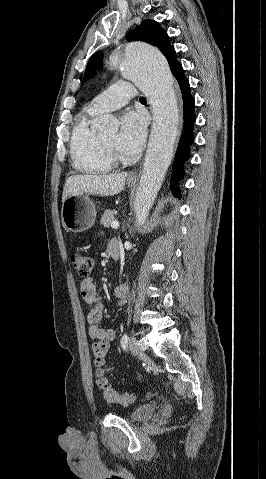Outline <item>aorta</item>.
Returning a JSON list of instances; mask_svg holds the SVG:
<instances>
[{"label":"aorta","mask_w":266,"mask_h":479,"mask_svg":"<svg viewBox=\"0 0 266 479\" xmlns=\"http://www.w3.org/2000/svg\"><path fill=\"white\" fill-rule=\"evenodd\" d=\"M112 66H120L123 75L133 81L153 107V124L143 163L139 187L133 202L137 226H142L154 204L164 176L172 160L177 136L179 110L174 79L165 57L154 47L142 43H128L116 49ZM117 121L110 115L95 118L98 131L117 129Z\"/></svg>","instance_id":"aorta-1"}]
</instances>
